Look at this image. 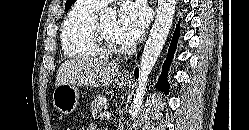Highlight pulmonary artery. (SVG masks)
<instances>
[{
	"label": "pulmonary artery",
	"mask_w": 249,
	"mask_h": 130,
	"mask_svg": "<svg viewBox=\"0 0 249 130\" xmlns=\"http://www.w3.org/2000/svg\"><path fill=\"white\" fill-rule=\"evenodd\" d=\"M94 3L100 5V6H104L105 4H107L108 2H111L113 0H92Z\"/></svg>",
	"instance_id": "1"
}]
</instances>
